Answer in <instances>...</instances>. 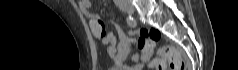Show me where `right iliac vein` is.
Instances as JSON below:
<instances>
[{"instance_id":"right-iliac-vein-1","label":"right iliac vein","mask_w":238,"mask_h":70,"mask_svg":"<svg viewBox=\"0 0 238 70\" xmlns=\"http://www.w3.org/2000/svg\"><path fill=\"white\" fill-rule=\"evenodd\" d=\"M122 10L128 13H133L134 12V8L131 5H123Z\"/></svg>"}]
</instances>
